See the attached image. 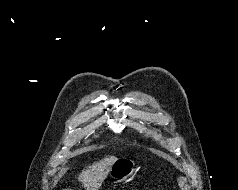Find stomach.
<instances>
[{"mask_svg": "<svg viewBox=\"0 0 238 190\" xmlns=\"http://www.w3.org/2000/svg\"><path fill=\"white\" fill-rule=\"evenodd\" d=\"M135 171V163L130 159H118L110 169V175L113 179L125 180Z\"/></svg>", "mask_w": 238, "mask_h": 190, "instance_id": "0dacf381", "label": "stomach"}]
</instances>
